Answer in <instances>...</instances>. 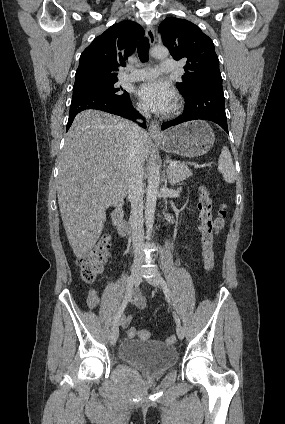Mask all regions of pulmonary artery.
Segmentation results:
<instances>
[{"instance_id":"pulmonary-artery-1","label":"pulmonary artery","mask_w":285,"mask_h":424,"mask_svg":"<svg viewBox=\"0 0 285 424\" xmlns=\"http://www.w3.org/2000/svg\"><path fill=\"white\" fill-rule=\"evenodd\" d=\"M176 68V63L174 60L167 59L162 61L160 68L146 67L142 69H138L126 76L127 80L130 81H144V80H152L155 78L160 72L162 73H171Z\"/></svg>"}]
</instances>
